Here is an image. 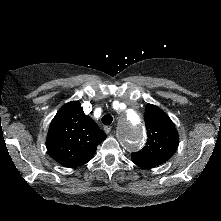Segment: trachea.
<instances>
[{"mask_svg": "<svg viewBox=\"0 0 221 221\" xmlns=\"http://www.w3.org/2000/svg\"><path fill=\"white\" fill-rule=\"evenodd\" d=\"M113 121V117L109 114H106L102 117V123L104 125H110Z\"/></svg>", "mask_w": 221, "mask_h": 221, "instance_id": "3493384b", "label": "trachea"}]
</instances>
